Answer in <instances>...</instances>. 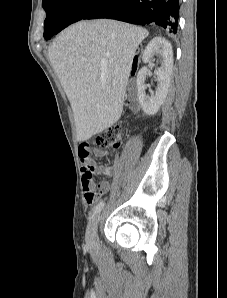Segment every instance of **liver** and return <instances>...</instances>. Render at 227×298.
<instances>
[{
	"instance_id": "obj_1",
	"label": "liver",
	"mask_w": 227,
	"mask_h": 298,
	"mask_svg": "<svg viewBox=\"0 0 227 298\" xmlns=\"http://www.w3.org/2000/svg\"><path fill=\"white\" fill-rule=\"evenodd\" d=\"M148 31L110 19L64 29L48 50L70 101L79 142L106 130L122 114L133 58Z\"/></svg>"
}]
</instances>
